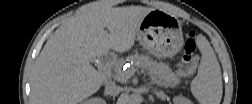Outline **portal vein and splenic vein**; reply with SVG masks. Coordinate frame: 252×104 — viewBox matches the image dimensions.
<instances>
[{
	"label": "portal vein and splenic vein",
	"instance_id": "1",
	"mask_svg": "<svg viewBox=\"0 0 252 104\" xmlns=\"http://www.w3.org/2000/svg\"><path fill=\"white\" fill-rule=\"evenodd\" d=\"M134 74V71H130L129 73L125 74V73H122L121 75L126 77V78H130L132 75Z\"/></svg>",
	"mask_w": 252,
	"mask_h": 104
}]
</instances>
